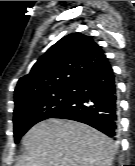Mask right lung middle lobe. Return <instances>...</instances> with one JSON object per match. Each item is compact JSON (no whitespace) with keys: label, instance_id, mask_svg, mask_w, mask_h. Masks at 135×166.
Returning <instances> with one entry per match:
<instances>
[{"label":"right lung middle lobe","instance_id":"obj_1","mask_svg":"<svg viewBox=\"0 0 135 166\" xmlns=\"http://www.w3.org/2000/svg\"><path fill=\"white\" fill-rule=\"evenodd\" d=\"M75 94V88L70 87L53 95L20 105L14 110V138L18 143L20 138L36 123L51 118L56 112L69 106Z\"/></svg>","mask_w":135,"mask_h":166}]
</instances>
